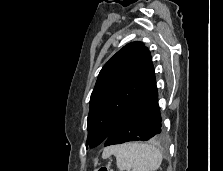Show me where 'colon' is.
I'll return each instance as SVG.
<instances>
[{
	"mask_svg": "<svg viewBox=\"0 0 223 171\" xmlns=\"http://www.w3.org/2000/svg\"><path fill=\"white\" fill-rule=\"evenodd\" d=\"M96 171H114V170L108 166H102V167L98 168Z\"/></svg>",
	"mask_w": 223,
	"mask_h": 171,
	"instance_id": "1",
	"label": "colon"
}]
</instances>
